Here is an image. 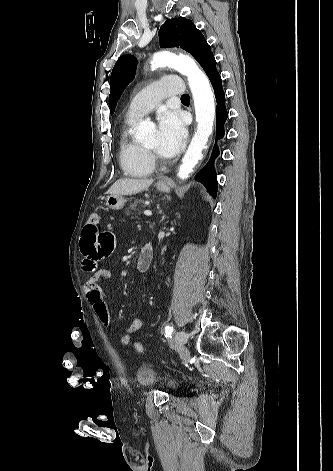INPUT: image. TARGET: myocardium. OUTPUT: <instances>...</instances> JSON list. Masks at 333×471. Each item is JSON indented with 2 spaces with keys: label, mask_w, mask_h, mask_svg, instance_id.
<instances>
[{
  "label": "myocardium",
  "mask_w": 333,
  "mask_h": 471,
  "mask_svg": "<svg viewBox=\"0 0 333 471\" xmlns=\"http://www.w3.org/2000/svg\"><path fill=\"white\" fill-rule=\"evenodd\" d=\"M144 148L151 157H154V150L153 149L148 148L146 146H144Z\"/></svg>",
  "instance_id": "obj_1"
}]
</instances>
